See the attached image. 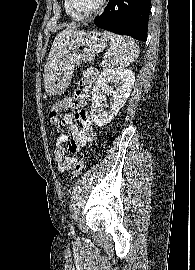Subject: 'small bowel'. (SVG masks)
Segmentation results:
<instances>
[{"mask_svg":"<svg viewBox=\"0 0 195 270\" xmlns=\"http://www.w3.org/2000/svg\"><path fill=\"white\" fill-rule=\"evenodd\" d=\"M97 72L93 69L86 70L79 80L78 86L72 96L63 99L65 109L73 111L63 118H50L52 127L67 126L71 131V137L61 133L55 144L54 161L60 172L74 169L77 161L76 155L86 144L96 139L93 123L88 111L83 107L90 87Z\"/></svg>","mask_w":195,"mask_h":270,"instance_id":"c3829d8e","label":"small bowel"}]
</instances>
